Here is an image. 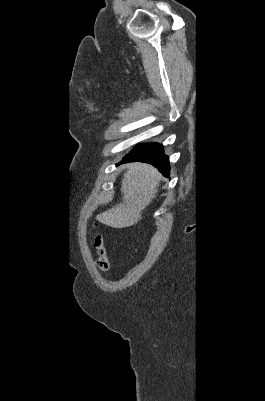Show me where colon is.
Segmentation results:
<instances>
[{
  "label": "colon",
  "instance_id": "1",
  "mask_svg": "<svg viewBox=\"0 0 265 401\" xmlns=\"http://www.w3.org/2000/svg\"><path fill=\"white\" fill-rule=\"evenodd\" d=\"M93 246L98 253V264L102 270L109 268V262L105 256L104 241L101 235H96L93 241Z\"/></svg>",
  "mask_w": 265,
  "mask_h": 401
}]
</instances>
